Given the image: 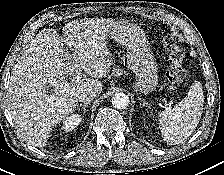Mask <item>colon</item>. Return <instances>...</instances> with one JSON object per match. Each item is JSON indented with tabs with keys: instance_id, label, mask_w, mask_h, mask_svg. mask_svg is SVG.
I'll list each match as a JSON object with an SVG mask.
<instances>
[{
	"instance_id": "5ec220e1",
	"label": "colon",
	"mask_w": 224,
	"mask_h": 175,
	"mask_svg": "<svg viewBox=\"0 0 224 175\" xmlns=\"http://www.w3.org/2000/svg\"><path fill=\"white\" fill-rule=\"evenodd\" d=\"M164 45L170 60V65L166 71V78L171 88L174 89L178 87L186 77V72L182 65L185 51L171 36L165 38Z\"/></svg>"
}]
</instances>
